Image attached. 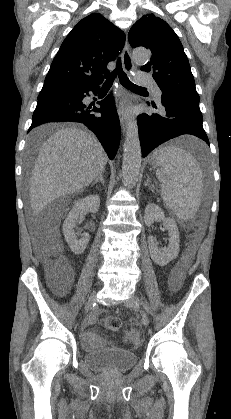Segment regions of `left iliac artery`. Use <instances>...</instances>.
<instances>
[{
  "instance_id": "obj_1",
  "label": "left iliac artery",
  "mask_w": 231,
  "mask_h": 419,
  "mask_svg": "<svg viewBox=\"0 0 231 419\" xmlns=\"http://www.w3.org/2000/svg\"><path fill=\"white\" fill-rule=\"evenodd\" d=\"M142 306H143V308L147 311V312H149V306L147 305V304H144V303H140Z\"/></svg>"
}]
</instances>
